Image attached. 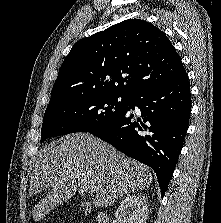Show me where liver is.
<instances>
[{
    "label": "liver",
    "mask_w": 221,
    "mask_h": 223,
    "mask_svg": "<svg viewBox=\"0 0 221 223\" xmlns=\"http://www.w3.org/2000/svg\"><path fill=\"white\" fill-rule=\"evenodd\" d=\"M42 148L31 176L30 195L51 187L32 208V219L44 218L58 204L72 198L77 184H86L96 207H108L118 198L152 183L146 166L128 158L93 135L76 133Z\"/></svg>",
    "instance_id": "obj_1"
}]
</instances>
